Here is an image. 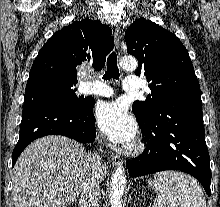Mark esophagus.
<instances>
[{
    "label": "esophagus",
    "mask_w": 220,
    "mask_h": 207,
    "mask_svg": "<svg viewBox=\"0 0 220 207\" xmlns=\"http://www.w3.org/2000/svg\"><path fill=\"white\" fill-rule=\"evenodd\" d=\"M114 44H115V48L118 50L120 47V32L118 29H116L114 32ZM112 163L115 166H119L123 163V161L120 158V156L113 153L112 154Z\"/></svg>",
    "instance_id": "esophagus-1"
}]
</instances>
